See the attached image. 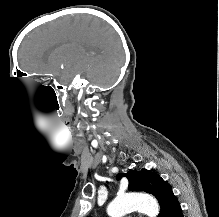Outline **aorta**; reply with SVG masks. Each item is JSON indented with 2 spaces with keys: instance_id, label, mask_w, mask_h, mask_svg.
Returning <instances> with one entry per match:
<instances>
[{
  "instance_id": "obj_1",
  "label": "aorta",
  "mask_w": 219,
  "mask_h": 217,
  "mask_svg": "<svg viewBox=\"0 0 219 217\" xmlns=\"http://www.w3.org/2000/svg\"><path fill=\"white\" fill-rule=\"evenodd\" d=\"M136 210L149 217H156L159 206L155 199L147 195H125L115 198L107 207L110 217H123L129 211Z\"/></svg>"
}]
</instances>
